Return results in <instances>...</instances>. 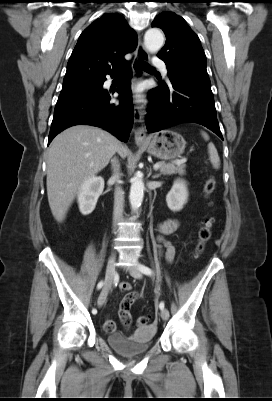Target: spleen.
Masks as SVG:
<instances>
[{
	"label": "spleen",
	"mask_w": 272,
	"mask_h": 401,
	"mask_svg": "<svg viewBox=\"0 0 272 401\" xmlns=\"http://www.w3.org/2000/svg\"><path fill=\"white\" fill-rule=\"evenodd\" d=\"M202 136L204 137L205 140H209L208 134L203 131H202ZM208 153L210 162L212 163L213 167L215 169H218L220 167V158L217 149L213 143L208 144Z\"/></svg>",
	"instance_id": "obj_1"
}]
</instances>
